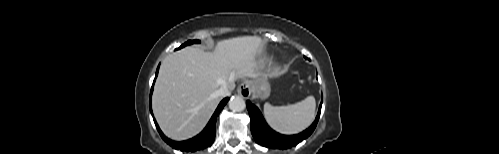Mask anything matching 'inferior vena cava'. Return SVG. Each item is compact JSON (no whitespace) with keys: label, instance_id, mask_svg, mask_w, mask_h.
<instances>
[{"label":"inferior vena cava","instance_id":"inferior-vena-cava-1","mask_svg":"<svg viewBox=\"0 0 499 154\" xmlns=\"http://www.w3.org/2000/svg\"><path fill=\"white\" fill-rule=\"evenodd\" d=\"M230 90L226 86H222L217 90V95L219 97H227L230 96Z\"/></svg>","mask_w":499,"mask_h":154}]
</instances>
